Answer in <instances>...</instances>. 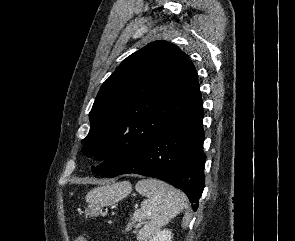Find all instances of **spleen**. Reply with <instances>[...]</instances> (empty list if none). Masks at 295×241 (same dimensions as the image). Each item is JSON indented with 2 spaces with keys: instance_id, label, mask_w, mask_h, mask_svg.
Masks as SVG:
<instances>
[{
  "instance_id": "spleen-1",
  "label": "spleen",
  "mask_w": 295,
  "mask_h": 241,
  "mask_svg": "<svg viewBox=\"0 0 295 241\" xmlns=\"http://www.w3.org/2000/svg\"><path fill=\"white\" fill-rule=\"evenodd\" d=\"M135 189L147 197L137 209L125 230H130L136 223H144L137 235L139 241L151 240L160 228L170 222L172 218L188 207L186 196L169 184L152 178L142 179L137 182Z\"/></svg>"
}]
</instances>
